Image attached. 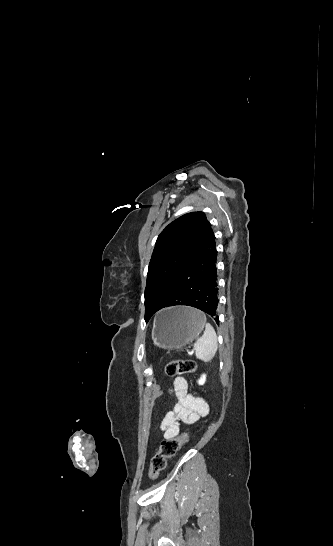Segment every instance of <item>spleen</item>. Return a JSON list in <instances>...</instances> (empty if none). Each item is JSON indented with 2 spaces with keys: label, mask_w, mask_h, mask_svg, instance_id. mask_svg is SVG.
Masks as SVG:
<instances>
[{
  "label": "spleen",
  "mask_w": 333,
  "mask_h": 546,
  "mask_svg": "<svg viewBox=\"0 0 333 546\" xmlns=\"http://www.w3.org/2000/svg\"><path fill=\"white\" fill-rule=\"evenodd\" d=\"M202 315L204 316L206 320V316L204 315V313H202ZM194 349H195L196 358L201 361L207 362L214 357L218 349V342H217L216 332L211 324L209 323L205 324V331L202 337H200L195 342Z\"/></svg>",
  "instance_id": "obj_1"
}]
</instances>
